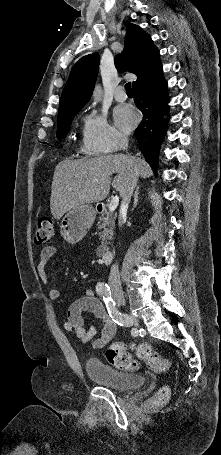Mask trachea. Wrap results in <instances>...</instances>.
<instances>
[{
  "instance_id": "3493384b",
  "label": "trachea",
  "mask_w": 221,
  "mask_h": 455,
  "mask_svg": "<svg viewBox=\"0 0 221 455\" xmlns=\"http://www.w3.org/2000/svg\"><path fill=\"white\" fill-rule=\"evenodd\" d=\"M125 90L127 93H133L130 82L125 84Z\"/></svg>"
}]
</instances>
